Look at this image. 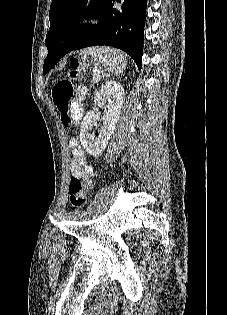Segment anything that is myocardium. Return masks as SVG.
Here are the masks:
<instances>
[{
  "label": "myocardium",
  "mask_w": 227,
  "mask_h": 315,
  "mask_svg": "<svg viewBox=\"0 0 227 315\" xmlns=\"http://www.w3.org/2000/svg\"><path fill=\"white\" fill-rule=\"evenodd\" d=\"M81 23H86V22H88V19H86V18H84V19H81V21H80Z\"/></svg>",
  "instance_id": "1"
}]
</instances>
